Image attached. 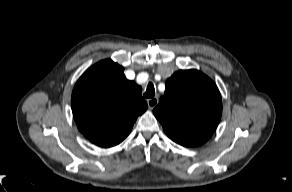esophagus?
<instances>
[{"mask_svg": "<svg viewBox=\"0 0 292 192\" xmlns=\"http://www.w3.org/2000/svg\"><path fill=\"white\" fill-rule=\"evenodd\" d=\"M147 104L150 109H153L158 104V98H149L147 99Z\"/></svg>", "mask_w": 292, "mask_h": 192, "instance_id": "34e87169", "label": "esophagus"}]
</instances>
